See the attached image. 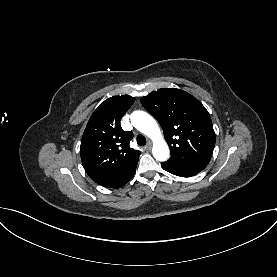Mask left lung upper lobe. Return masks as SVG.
Listing matches in <instances>:
<instances>
[{
  "mask_svg": "<svg viewBox=\"0 0 277 277\" xmlns=\"http://www.w3.org/2000/svg\"><path fill=\"white\" fill-rule=\"evenodd\" d=\"M159 121L171 150L169 162L207 165L215 146V133L206 108L189 93L163 88L141 98Z\"/></svg>",
  "mask_w": 277,
  "mask_h": 277,
  "instance_id": "left-lung-upper-lobe-1",
  "label": "left lung upper lobe"
}]
</instances>
